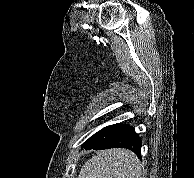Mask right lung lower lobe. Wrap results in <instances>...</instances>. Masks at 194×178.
I'll return each mask as SVG.
<instances>
[{"label": "right lung lower lobe", "mask_w": 194, "mask_h": 178, "mask_svg": "<svg viewBox=\"0 0 194 178\" xmlns=\"http://www.w3.org/2000/svg\"><path fill=\"white\" fill-rule=\"evenodd\" d=\"M141 145V138L133 127L126 124H114L95 133L82 145V148L87 150L127 148L141 158Z\"/></svg>", "instance_id": "98d812e1"}]
</instances>
